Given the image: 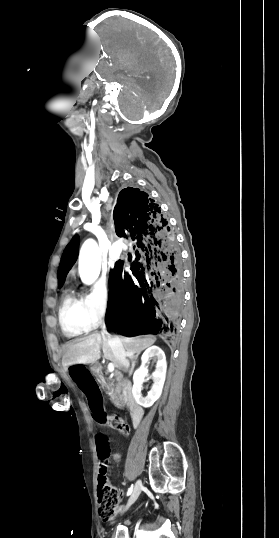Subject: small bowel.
Segmentation results:
<instances>
[{
	"label": "small bowel",
	"instance_id": "1",
	"mask_svg": "<svg viewBox=\"0 0 279 538\" xmlns=\"http://www.w3.org/2000/svg\"><path fill=\"white\" fill-rule=\"evenodd\" d=\"M111 456H112V458H113L114 461H119V460H120V457H121V456H120V453H119L118 451H116V450H113V451L111 452Z\"/></svg>",
	"mask_w": 279,
	"mask_h": 538
}]
</instances>
